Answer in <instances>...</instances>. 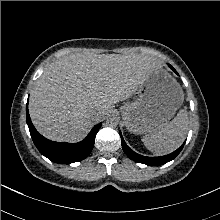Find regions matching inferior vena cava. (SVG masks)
<instances>
[{"instance_id":"602c4592","label":"inferior vena cava","mask_w":220,"mask_h":220,"mask_svg":"<svg viewBox=\"0 0 220 220\" xmlns=\"http://www.w3.org/2000/svg\"><path fill=\"white\" fill-rule=\"evenodd\" d=\"M97 115H98V112H97V111L94 110V111L91 112V116H92V117H95V116H97Z\"/></svg>"}]
</instances>
